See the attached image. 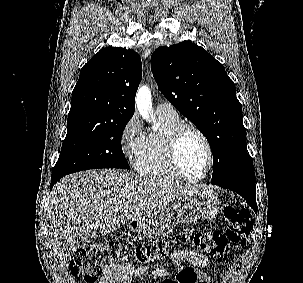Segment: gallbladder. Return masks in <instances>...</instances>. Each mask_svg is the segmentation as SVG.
I'll use <instances>...</instances> for the list:
<instances>
[{"mask_svg": "<svg viewBox=\"0 0 303 283\" xmlns=\"http://www.w3.org/2000/svg\"><path fill=\"white\" fill-rule=\"evenodd\" d=\"M93 241L91 236H81L76 240L75 249H85Z\"/></svg>", "mask_w": 303, "mask_h": 283, "instance_id": "obj_1", "label": "gallbladder"}]
</instances>
